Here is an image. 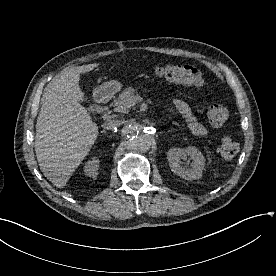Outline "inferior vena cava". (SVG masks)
Returning a JSON list of instances; mask_svg holds the SVG:
<instances>
[{
  "label": "inferior vena cava",
  "instance_id": "602c4592",
  "mask_svg": "<svg viewBox=\"0 0 276 276\" xmlns=\"http://www.w3.org/2000/svg\"><path fill=\"white\" fill-rule=\"evenodd\" d=\"M120 124H121V123H120L119 120L108 119V120H106V121L103 123L102 127H103L104 129H112V128H114V127L119 126Z\"/></svg>",
  "mask_w": 276,
  "mask_h": 276
}]
</instances>
